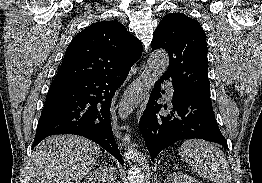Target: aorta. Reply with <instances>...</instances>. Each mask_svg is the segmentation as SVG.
<instances>
[{
  "label": "aorta",
  "mask_w": 262,
  "mask_h": 183,
  "mask_svg": "<svg viewBox=\"0 0 262 183\" xmlns=\"http://www.w3.org/2000/svg\"><path fill=\"white\" fill-rule=\"evenodd\" d=\"M169 65L168 54L163 50L151 53L141 76L124 92L119 103V115L127 117L148 95L157 80L164 74ZM144 161L143 158L140 159Z\"/></svg>",
  "instance_id": "1"
}]
</instances>
